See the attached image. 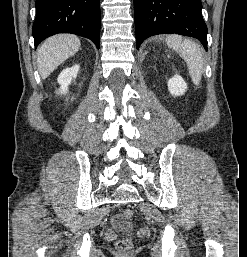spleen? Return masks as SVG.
<instances>
[{"label":"spleen","mask_w":247,"mask_h":257,"mask_svg":"<svg viewBox=\"0 0 247 257\" xmlns=\"http://www.w3.org/2000/svg\"><path fill=\"white\" fill-rule=\"evenodd\" d=\"M166 43L181 55L187 63L193 83L199 85L204 66L203 56L199 46L190 39L182 40V37L179 35L167 36Z\"/></svg>","instance_id":"3e777b00"}]
</instances>
